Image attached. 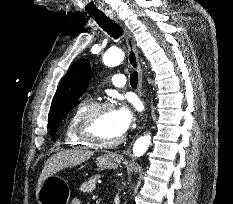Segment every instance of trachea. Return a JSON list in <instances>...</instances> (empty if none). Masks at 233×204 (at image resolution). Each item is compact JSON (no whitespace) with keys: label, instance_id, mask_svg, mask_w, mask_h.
I'll return each instance as SVG.
<instances>
[{"label":"trachea","instance_id":"3493384b","mask_svg":"<svg viewBox=\"0 0 233 204\" xmlns=\"http://www.w3.org/2000/svg\"><path fill=\"white\" fill-rule=\"evenodd\" d=\"M89 15L97 22V24L104 31H106L114 39H118L123 35L122 28L116 22H114L109 17H107L104 13L95 12V13H90ZM130 84L133 88L137 87L138 84L137 72H133L130 75Z\"/></svg>","mask_w":233,"mask_h":204}]
</instances>
